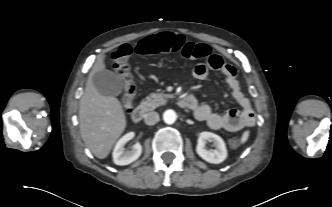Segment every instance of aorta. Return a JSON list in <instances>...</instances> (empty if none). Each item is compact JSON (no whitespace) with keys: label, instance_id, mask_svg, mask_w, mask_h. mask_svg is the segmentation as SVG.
Listing matches in <instances>:
<instances>
[{"label":"aorta","instance_id":"aorta-1","mask_svg":"<svg viewBox=\"0 0 332 207\" xmlns=\"http://www.w3.org/2000/svg\"><path fill=\"white\" fill-rule=\"evenodd\" d=\"M177 119V114L173 110H166L163 114V120L167 124H173Z\"/></svg>","mask_w":332,"mask_h":207}]
</instances>
